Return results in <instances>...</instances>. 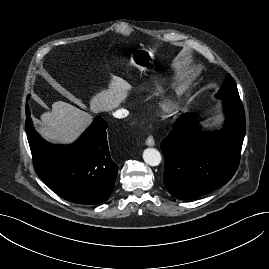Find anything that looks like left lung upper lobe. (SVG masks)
<instances>
[{
  "label": "left lung upper lobe",
  "instance_id": "obj_1",
  "mask_svg": "<svg viewBox=\"0 0 269 269\" xmlns=\"http://www.w3.org/2000/svg\"><path fill=\"white\" fill-rule=\"evenodd\" d=\"M216 97L220 99L240 100L236 83L230 74L226 75Z\"/></svg>",
  "mask_w": 269,
  "mask_h": 269
}]
</instances>
